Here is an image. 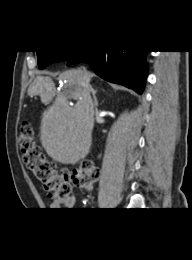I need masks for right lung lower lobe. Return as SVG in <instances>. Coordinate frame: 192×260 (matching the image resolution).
Here are the masks:
<instances>
[{
  "label": "right lung lower lobe",
  "mask_w": 192,
  "mask_h": 260,
  "mask_svg": "<svg viewBox=\"0 0 192 260\" xmlns=\"http://www.w3.org/2000/svg\"><path fill=\"white\" fill-rule=\"evenodd\" d=\"M147 51H76L67 65L77 62L90 64L103 79L122 84L142 94L147 77Z\"/></svg>",
  "instance_id": "98d812e1"
}]
</instances>
